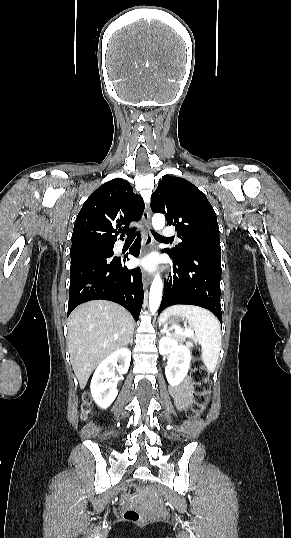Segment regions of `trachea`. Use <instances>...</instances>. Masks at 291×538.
Returning <instances> with one entry per match:
<instances>
[{"label": "trachea", "instance_id": "3493384b", "mask_svg": "<svg viewBox=\"0 0 291 538\" xmlns=\"http://www.w3.org/2000/svg\"><path fill=\"white\" fill-rule=\"evenodd\" d=\"M126 233H127V239H134V238H135V232H134V229H131V230L127 231ZM151 233H152V235L155 237L156 240H161V241H171V239H169V238H164L163 236L159 235V234L156 233L155 231H152V230H151Z\"/></svg>", "mask_w": 291, "mask_h": 538}]
</instances>
